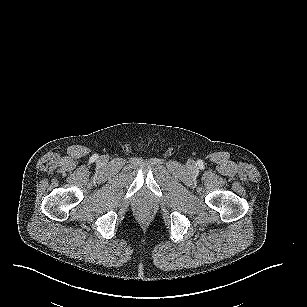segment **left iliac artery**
Masks as SVG:
<instances>
[{"instance_id": "1", "label": "left iliac artery", "mask_w": 307, "mask_h": 307, "mask_svg": "<svg viewBox=\"0 0 307 307\" xmlns=\"http://www.w3.org/2000/svg\"><path fill=\"white\" fill-rule=\"evenodd\" d=\"M197 163H198V165H199L200 167H201V166L203 167V163L200 164V161H198Z\"/></svg>"}]
</instances>
